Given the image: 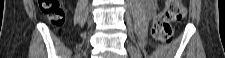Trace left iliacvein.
I'll return each instance as SVG.
<instances>
[{"instance_id":"1","label":"left iliac vein","mask_w":225,"mask_h":58,"mask_svg":"<svg viewBox=\"0 0 225 58\" xmlns=\"http://www.w3.org/2000/svg\"><path fill=\"white\" fill-rule=\"evenodd\" d=\"M127 49L132 58H141L140 52L138 51V49L135 46L128 45Z\"/></svg>"}]
</instances>
